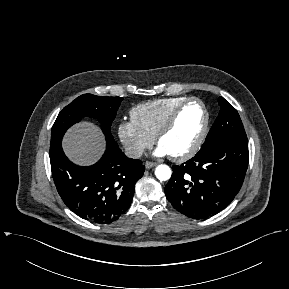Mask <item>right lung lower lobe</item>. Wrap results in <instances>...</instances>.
<instances>
[{
    "instance_id": "right-lung-lower-lobe-1",
    "label": "right lung lower lobe",
    "mask_w": 289,
    "mask_h": 289,
    "mask_svg": "<svg viewBox=\"0 0 289 289\" xmlns=\"http://www.w3.org/2000/svg\"><path fill=\"white\" fill-rule=\"evenodd\" d=\"M106 151L94 165L73 164L60 145L50 154L52 177L66 206L83 219L111 223L130 206L135 183L143 176L142 161L130 159L106 137Z\"/></svg>"
}]
</instances>
